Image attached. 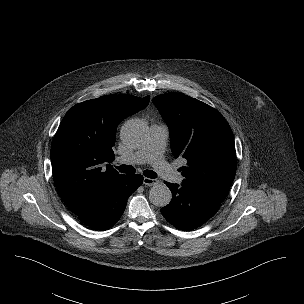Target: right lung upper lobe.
Here are the masks:
<instances>
[{
	"label": "right lung upper lobe",
	"instance_id": "right-lung-upper-lobe-1",
	"mask_svg": "<svg viewBox=\"0 0 304 304\" xmlns=\"http://www.w3.org/2000/svg\"><path fill=\"white\" fill-rule=\"evenodd\" d=\"M149 99L107 95L73 106L62 119L51 145L52 172L62 200L74 214L84 212L121 175L109 164L117 126L144 109Z\"/></svg>",
	"mask_w": 304,
	"mask_h": 304
}]
</instances>
